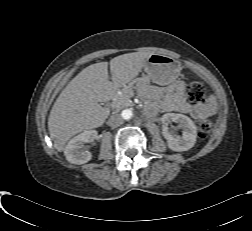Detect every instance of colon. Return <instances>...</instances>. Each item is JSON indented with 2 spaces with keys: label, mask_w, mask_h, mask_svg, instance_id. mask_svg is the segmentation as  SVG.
<instances>
[{
  "label": "colon",
  "mask_w": 252,
  "mask_h": 231,
  "mask_svg": "<svg viewBox=\"0 0 252 231\" xmlns=\"http://www.w3.org/2000/svg\"><path fill=\"white\" fill-rule=\"evenodd\" d=\"M187 99L191 104H198L204 100V92L202 88L196 84L191 83L187 89ZM199 132L202 136L209 133L211 129L210 122L208 120H201L198 124Z\"/></svg>",
  "instance_id": "obj_1"
}]
</instances>
